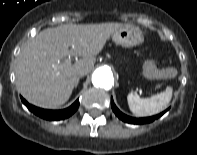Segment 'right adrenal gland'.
<instances>
[{"label": "right adrenal gland", "mask_w": 197, "mask_h": 155, "mask_svg": "<svg viewBox=\"0 0 197 155\" xmlns=\"http://www.w3.org/2000/svg\"><path fill=\"white\" fill-rule=\"evenodd\" d=\"M79 80H80V77H78V79L76 81L75 88L78 86Z\"/></svg>", "instance_id": "1"}]
</instances>
